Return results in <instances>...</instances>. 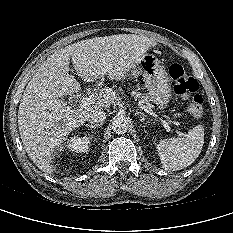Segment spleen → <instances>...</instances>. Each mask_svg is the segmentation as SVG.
Masks as SVG:
<instances>
[{
	"mask_svg": "<svg viewBox=\"0 0 233 233\" xmlns=\"http://www.w3.org/2000/svg\"><path fill=\"white\" fill-rule=\"evenodd\" d=\"M204 144V128L197 125L182 138L160 140L156 145L162 168L178 171L190 166L201 153Z\"/></svg>",
	"mask_w": 233,
	"mask_h": 233,
	"instance_id": "obj_1",
	"label": "spleen"
}]
</instances>
